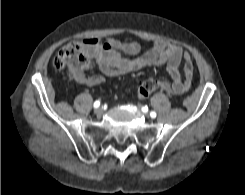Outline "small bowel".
Returning <instances> with one entry per match:
<instances>
[{"label":"small bowel","mask_w":245,"mask_h":195,"mask_svg":"<svg viewBox=\"0 0 245 195\" xmlns=\"http://www.w3.org/2000/svg\"><path fill=\"white\" fill-rule=\"evenodd\" d=\"M83 44L89 58L106 76L115 77L148 66L165 65L172 82L162 81L160 87L163 91L172 95H181L191 87L194 73L193 61L190 54L180 46L158 40L147 52L137 56L141 51L138 42L122 43L114 38L102 42L91 38L84 40ZM181 62H184L183 75L179 71ZM79 80L89 86H96L101 84L104 78L97 75Z\"/></svg>","instance_id":"small-bowel-1"}]
</instances>
